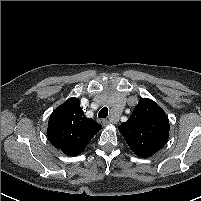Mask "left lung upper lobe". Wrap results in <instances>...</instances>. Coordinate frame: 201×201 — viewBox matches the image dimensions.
Returning a JSON list of instances; mask_svg holds the SVG:
<instances>
[{
    "label": "left lung upper lobe",
    "instance_id": "obj_1",
    "mask_svg": "<svg viewBox=\"0 0 201 201\" xmlns=\"http://www.w3.org/2000/svg\"><path fill=\"white\" fill-rule=\"evenodd\" d=\"M118 129L137 156L149 157L166 144L169 120L154 101L141 98L130 118Z\"/></svg>",
    "mask_w": 201,
    "mask_h": 201
}]
</instances>
